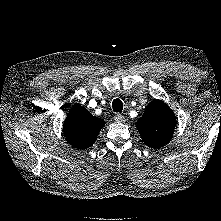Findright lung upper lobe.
Instances as JSON below:
<instances>
[{"instance_id":"cb5924a9","label":"right lung upper lobe","mask_w":221,"mask_h":221,"mask_svg":"<svg viewBox=\"0 0 221 221\" xmlns=\"http://www.w3.org/2000/svg\"><path fill=\"white\" fill-rule=\"evenodd\" d=\"M104 125L103 119L93 116L82 106L75 105L67 114L63 132L72 146L85 149L94 144Z\"/></svg>"}]
</instances>
